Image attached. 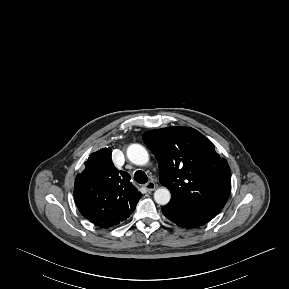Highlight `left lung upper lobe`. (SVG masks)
I'll return each instance as SVG.
<instances>
[{"label":"left lung upper lobe","instance_id":"5c2ea615","mask_svg":"<svg viewBox=\"0 0 289 289\" xmlns=\"http://www.w3.org/2000/svg\"><path fill=\"white\" fill-rule=\"evenodd\" d=\"M159 163V178L171 200L219 213L231 192V171L214 144L190 127H167L142 136Z\"/></svg>","mask_w":289,"mask_h":289}]
</instances>
